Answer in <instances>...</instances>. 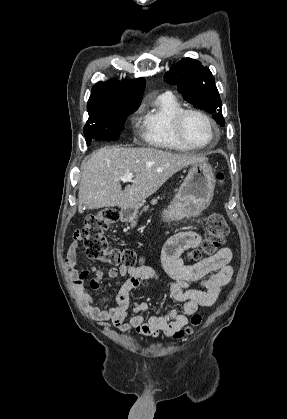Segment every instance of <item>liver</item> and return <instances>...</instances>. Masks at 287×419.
<instances>
[{
  "instance_id": "6515ba94",
  "label": "liver",
  "mask_w": 287,
  "mask_h": 419,
  "mask_svg": "<svg viewBox=\"0 0 287 419\" xmlns=\"http://www.w3.org/2000/svg\"><path fill=\"white\" fill-rule=\"evenodd\" d=\"M206 160L152 147H102L82 162L78 211L141 206L175 173ZM128 173L135 178L122 190L119 178Z\"/></svg>"
}]
</instances>
